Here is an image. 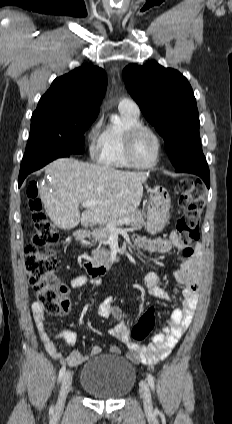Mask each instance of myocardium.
Instances as JSON below:
<instances>
[{
    "mask_svg": "<svg viewBox=\"0 0 232 424\" xmlns=\"http://www.w3.org/2000/svg\"><path fill=\"white\" fill-rule=\"evenodd\" d=\"M144 131L151 133L157 142V153H156V157L154 161L145 165L137 163L133 155V147H134L135 140L138 137V135ZM162 146H163L162 139L160 135L153 128L144 124H139L130 128L126 134L125 156L127 161L132 167L137 169H151L155 167L160 161Z\"/></svg>",
    "mask_w": 232,
    "mask_h": 424,
    "instance_id": "f54148a6",
    "label": "myocardium"
}]
</instances>
